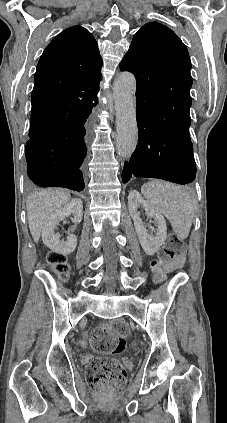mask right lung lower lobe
Masks as SVG:
<instances>
[{
    "label": "right lung lower lobe",
    "instance_id": "right-lung-lower-lobe-1",
    "mask_svg": "<svg viewBox=\"0 0 227 423\" xmlns=\"http://www.w3.org/2000/svg\"><path fill=\"white\" fill-rule=\"evenodd\" d=\"M97 98L80 97L70 101L32 102L31 123L47 120L63 122L61 128L39 139H30L25 148L27 174L39 187L84 189L87 162L88 117Z\"/></svg>",
    "mask_w": 227,
    "mask_h": 423
}]
</instances>
